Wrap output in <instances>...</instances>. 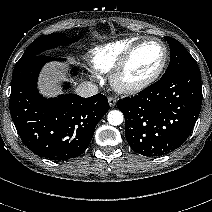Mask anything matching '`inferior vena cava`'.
I'll use <instances>...</instances> for the list:
<instances>
[{
    "label": "inferior vena cava",
    "instance_id": "1",
    "mask_svg": "<svg viewBox=\"0 0 212 212\" xmlns=\"http://www.w3.org/2000/svg\"><path fill=\"white\" fill-rule=\"evenodd\" d=\"M76 93L81 97H91L98 93V87L90 81H85L77 86Z\"/></svg>",
    "mask_w": 212,
    "mask_h": 212
}]
</instances>
